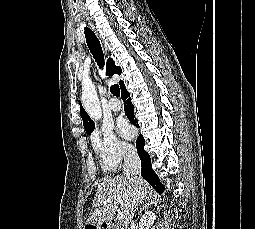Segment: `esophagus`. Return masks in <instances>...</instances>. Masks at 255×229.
<instances>
[{
	"instance_id": "34e87169",
	"label": "esophagus",
	"mask_w": 255,
	"mask_h": 229,
	"mask_svg": "<svg viewBox=\"0 0 255 229\" xmlns=\"http://www.w3.org/2000/svg\"><path fill=\"white\" fill-rule=\"evenodd\" d=\"M102 48H103L104 52L107 53V47L104 43H102Z\"/></svg>"
}]
</instances>
